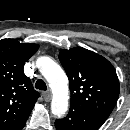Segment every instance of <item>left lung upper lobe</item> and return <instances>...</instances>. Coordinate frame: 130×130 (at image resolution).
<instances>
[{
  "mask_svg": "<svg viewBox=\"0 0 130 130\" xmlns=\"http://www.w3.org/2000/svg\"><path fill=\"white\" fill-rule=\"evenodd\" d=\"M59 59L69 78L70 107L88 109L108 118L120 91L113 65L82 47L62 50Z\"/></svg>",
  "mask_w": 130,
  "mask_h": 130,
  "instance_id": "5c2ea615",
  "label": "left lung upper lobe"
}]
</instances>
